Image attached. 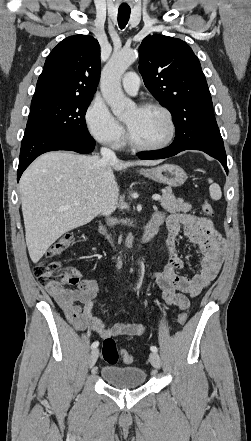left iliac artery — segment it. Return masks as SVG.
Here are the masks:
<instances>
[{"instance_id": "left-iliac-artery-1", "label": "left iliac artery", "mask_w": 251, "mask_h": 441, "mask_svg": "<svg viewBox=\"0 0 251 441\" xmlns=\"http://www.w3.org/2000/svg\"><path fill=\"white\" fill-rule=\"evenodd\" d=\"M150 350L152 351V352H158V348L156 347V346H151L150 347Z\"/></svg>"}]
</instances>
